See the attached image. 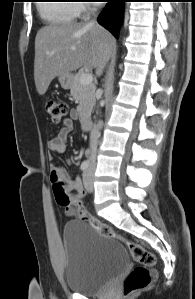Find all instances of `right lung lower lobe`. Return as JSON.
Segmentation results:
<instances>
[{"mask_svg": "<svg viewBox=\"0 0 195 299\" xmlns=\"http://www.w3.org/2000/svg\"><path fill=\"white\" fill-rule=\"evenodd\" d=\"M107 1L106 7L98 17V22L117 38L123 20L124 2L126 0Z\"/></svg>", "mask_w": 195, "mask_h": 299, "instance_id": "right-lung-lower-lobe-1", "label": "right lung lower lobe"}]
</instances>
